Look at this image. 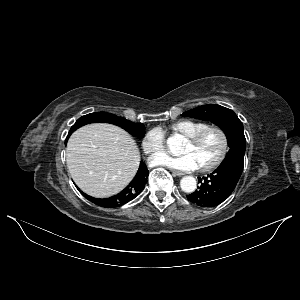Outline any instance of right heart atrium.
<instances>
[{"label": "right heart atrium", "mask_w": 300, "mask_h": 300, "mask_svg": "<svg viewBox=\"0 0 300 300\" xmlns=\"http://www.w3.org/2000/svg\"><path fill=\"white\" fill-rule=\"evenodd\" d=\"M164 145L165 135L158 127L148 130L141 142L144 153L150 157L161 153L164 150Z\"/></svg>", "instance_id": "d8ad5b80"}]
</instances>
